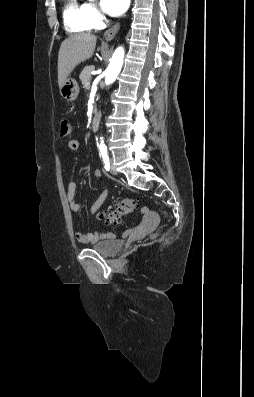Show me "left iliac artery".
<instances>
[{
  "label": "left iliac artery",
  "mask_w": 254,
  "mask_h": 397,
  "mask_svg": "<svg viewBox=\"0 0 254 397\" xmlns=\"http://www.w3.org/2000/svg\"><path fill=\"white\" fill-rule=\"evenodd\" d=\"M100 152H101V156H102V160H103V164H104V168L109 171L110 166H109V156H108V152H107V148L106 147H102L100 148Z\"/></svg>",
  "instance_id": "left-iliac-artery-1"
}]
</instances>
